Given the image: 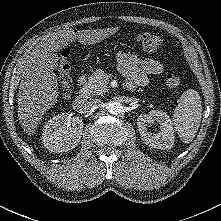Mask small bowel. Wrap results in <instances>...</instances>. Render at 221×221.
Instances as JSON below:
<instances>
[{
    "instance_id": "small-bowel-1",
    "label": "small bowel",
    "mask_w": 221,
    "mask_h": 221,
    "mask_svg": "<svg viewBox=\"0 0 221 221\" xmlns=\"http://www.w3.org/2000/svg\"><path fill=\"white\" fill-rule=\"evenodd\" d=\"M119 71L125 77V85L129 90L147 86L149 75H159L164 72V60L161 58L141 59L134 53L119 52L117 55Z\"/></svg>"
}]
</instances>
